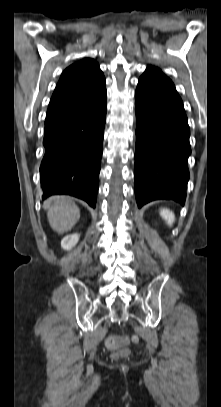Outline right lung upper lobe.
Masks as SVG:
<instances>
[{"mask_svg":"<svg viewBox=\"0 0 221 407\" xmlns=\"http://www.w3.org/2000/svg\"><path fill=\"white\" fill-rule=\"evenodd\" d=\"M104 88L105 78L98 63L93 59H83L62 73L48 109L81 101Z\"/></svg>","mask_w":221,"mask_h":407,"instance_id":"1","label":"right lung upper lobe"}]
</instances>
